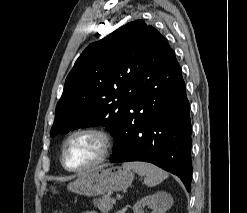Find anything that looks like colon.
Instances as JSON below:
<instances>
[{"label":"colon","mask_w":247,"mask_h":213,"mask_svg":"<svg viewBox=\"0 0 247 213\" xmlns=\"http://www.w3.org/2000/svg\"><path fill=\"white\" fill-rule=\"evenodd\" d=\"M56 213H66V212H65V210H60V211H58Z\"/></svg>","instance_id":"colon-1"}]
</instances>
